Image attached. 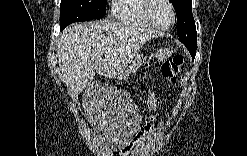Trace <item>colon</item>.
<instances>
[{
	"mask_svg": "<svg viewBox=\"0 0 247 156\" xmlns=\"http://www.w3.org/2000/svg\"><path fill=\"white\" fill-rule=\"evenodd\" d=\"M183 57L181 55H176L172 59L167 60L161 65V74L163 78L170 84H174L183 67ZM153 126L157 125L156 121L152 122Z\"/></svg>",
	"mask_w": 247,
	"mask_h": 156,
	"instance_id": "5ec220e1",
	"label": "colon"
}]
</instances>
